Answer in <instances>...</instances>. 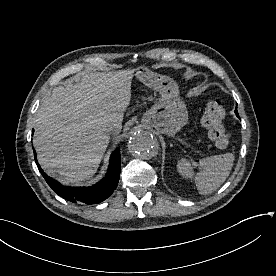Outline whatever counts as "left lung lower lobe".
<instances>
[{
  "label": "left lung lower lobe",
  "mask_w": 276,
  "mask_h": 276,
  "mask_svg": "<svg viewBox=\"0 0 276 276\" xmlns=\"http://www.w3.org/2000/svg\"><path fill=\"white\" fill-rule=\"evenodd\" d=\"M235 113H236L237 117H239L238 112H237V108L235 109Z\"/></svg>",
  "instance_id": "1"
}]
</instances>
